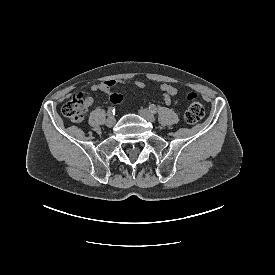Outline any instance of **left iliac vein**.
I'll return each instance as SVG.
<instances>
[{
  "instance_id": "4c4485c4",
  "label": "left iliac vein",
  "mask_w": 275,
  "mask_h": 275,
  "mask_svg": "<svg viewBox=\"0 0 275 275\" xmlns=\"http://www.w3.org/2000/svg\"><path fill=\"white\" fill-rule=\"evenodd\" d=\"M139 114L145 118L146 120L154 123L155 122V117L154 115L147 109H140L139 110Z\"/></svg>"
}]
</instances>
